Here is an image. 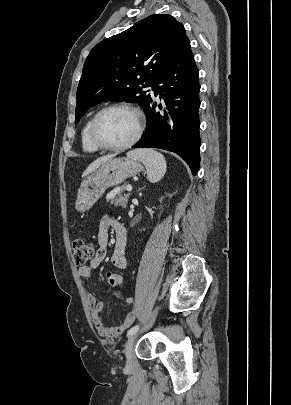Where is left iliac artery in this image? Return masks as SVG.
I'll return each mask as SVG.
<instances>
[{
  "mask_svg": "<svg viewBox=\"0 0 291 405\" xmlns=\"http://www.w3.org/2000/svg\"><path fill=\"white\" fill-rule=\"evenodd\" d=\"M138 329H139V325H136V326L132 327V328L127 332V335H128V336H131V335L135 334V333L138 331Z\"/></svg>",
  "mask_w": 291,
  "mask_h": 405,
  "instance_id": "44dca946",
  "label": "left iliac artery"
}]
</instances>
